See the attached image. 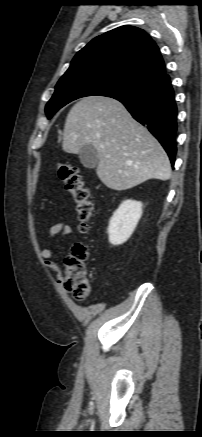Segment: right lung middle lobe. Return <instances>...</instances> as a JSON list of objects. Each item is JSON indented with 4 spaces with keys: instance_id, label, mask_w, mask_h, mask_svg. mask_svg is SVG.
<instances>
[{
    "instance_id": "1",
    "label": "right lung middle lobe",
    "mask_w": 202,
    "mask_h": 437,
    "mask_svg": "<svg viewBox=\"0 0 202 437\" xmlns=\"http://www.w3.org/2000/svg\"><path fill=\"white\" fill-rule=\"evenodd\" d=\"M151 83L135 79L126 74L93 69L77 70L65 73L58 81L45 112L52 115L69 102L85 96H107L136 94Z\"/></svg>"
}]
</instances>
